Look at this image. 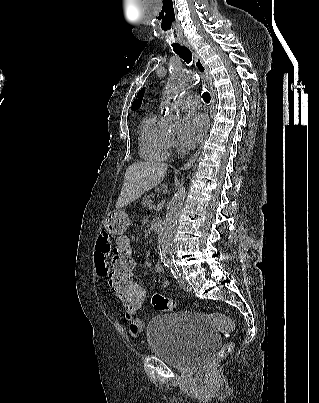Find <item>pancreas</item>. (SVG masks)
<instances>
[{"label": "pancreas", "instance_id": "1", "mask_svg": "<svg viewBox=\"0 0 319 403\" xmlns=\"http://www.w3.org/2000/svg\"><path fill=\"white\" fill-rule=\"evenodd\" d=\"M155 195L153 193L147 194L143 197L142 205L144 207H149L152 205Z\"/></svg>", "mask_w": 319, "mask_h": 403}]
</instances>
